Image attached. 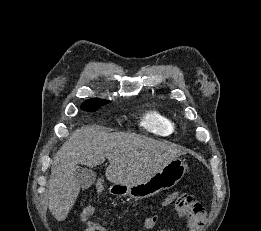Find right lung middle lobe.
<instances>
[{
  "mask_svg": "<svg viewBox=\"0 0 261 231\" xmlns=\"http://www.w3.org/2000/svg\"><path fill=\"white\" fill-rule=\"evenodd\" d=\"M108 103H110V101L101 100V99H97V100L92 99L83 103L82 109L92 112V111H96L100 107V105H105Z\"/></svg>",
  "mask_w": 261,
  "mask_h": 231,
  "instance_id": "1",
  "label": "right lung middle lobe"
}]
</instances>
